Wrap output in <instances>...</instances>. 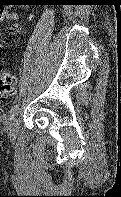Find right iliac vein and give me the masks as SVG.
<instances>
[{"label":"right iliac vein","mask_w":121,"mask_h":197,"mask_svg":"<svg viewBox=\"0 0 121 197\" xmlns=\"http://www.w3.org/2000/svg\"><path fill=\"white\" fill-rule=\"evenodd\" d=\"M17 129H18V118L17 116H14L9 124V139L12 143L15 142Z\"/></svg>","instance_id":"obj_1"}]
</instances>
